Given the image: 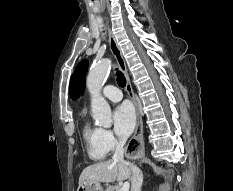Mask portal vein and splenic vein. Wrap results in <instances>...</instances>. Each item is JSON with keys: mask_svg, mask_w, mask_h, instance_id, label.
Masks as SVG:
<instances>
[{"mask_svg": "<svg viewBox=\"0 0 233 191\" xmlns=\"http://www.w3.org/2000/svg\"><path fill=\"white\" fill-rule=\"evenodd\" d=\"M129 188H130L129 182H125L122 188L120 189V191H129Z\"/></svg>", "mask_w": 233, "mask_h": 191, "instance_id": "1", "label": "portal vein and splenic vein"}]
</instances>
